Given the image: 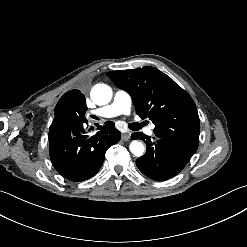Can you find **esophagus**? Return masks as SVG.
Masks as SVG:
<instances>
[{"instance_id": "obj_1", "label": "esophagus", "mask_w": 247, "mask_h": 247, "mask_svg": "<svg viewBox=\"0 0 247 247\" xmlns=\"http://www.w3.org/2000/svg\"><path fill=\"white\" fill-rule=\"evenodd\" d=\"M121 139L123 140V141H127L128 139H130V133H122V135H121Z\"/></svg>"}]
</instances>
